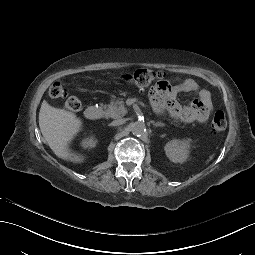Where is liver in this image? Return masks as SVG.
<instances>
[{
	"label": "liver",
	"instance_id": "liver-1",
	"mask_svg": "<svg viewBox=\"0 0 255 255\" xmlns=\"http://www.w3.org/2000/svg\"><path fill=\"white\" fill-rule=\"evenodd\" d=\"M81 122L68 111L50 106L45 100L39 112V127L44 139L56 156L64 160L80 162L81 158L68 152L67 144L79 131Z\"/></svg>",
	"mask_w": 255,
	"mask_h": 255
}]
</instances>
